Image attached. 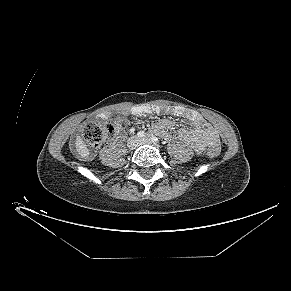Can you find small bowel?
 <instances>
[{"label":"small bowel","mask_w":291,"mask_h":291,"mask_svg":"<svg viewBox=\"0 0 291 291\" xmlns=\"http://www.w3.org/2000/svg\"><path fill=\"white\" fill-rule=\"evenodd\" d=\"M118 114L126 121L130 118L131 112L128 109H121ZM102 116L108 117L105 114ZM188 118L189 120L182 123V128L177 132L168 130L177 124L176 120L171 118L154 120L152 127L166 140L186 143L192 149L196 159L200 160L204 150L219 147V137L217 132L199 115L196 117L191 115Z\"/></svg>","instance_id":"obj_1"}]
</instances>
